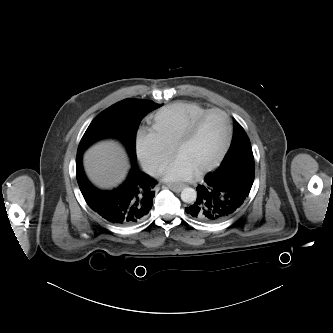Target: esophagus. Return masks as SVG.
I'll list each match as a JSON object with an SVG mask.
<instances>
[{"mask_svg": "<svg viewBox=\"0 0 333 333\" xmlns=\"http://www.w3.org/2000/svg\"><path fill=\"white\" fill-rule=\"evenodd\" d=\"M184 187V184H168V188L177 193L180 192Z\"/></svg>", "mask_w": 333, "mask_h": 333, "instance_id": "34e87169", "label": "esophagus"}]
</instances>
